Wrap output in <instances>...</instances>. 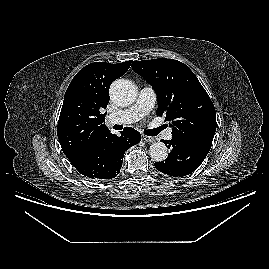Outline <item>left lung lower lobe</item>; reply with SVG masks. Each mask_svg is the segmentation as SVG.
<instances>
[{
    "label": "left lung lower lobe",
    "mask_w": 269,
    "mask_h": 269,
    "mask_svg": "<svg viewBox=\"0 0 269 269\" xmlns=\"http://www.w3.org/2000/svg\"><path fill=\"white\" fill-rule=\"evenodd\" d=\"M171 149L168 157L162 162H155L158 171L174 176L182 177L195 171L207 156L212 142L207 140L181 141L175 138L165 141Z\"/></svg>",
    "instance_id": "0a47b994"
}]
</instances>
